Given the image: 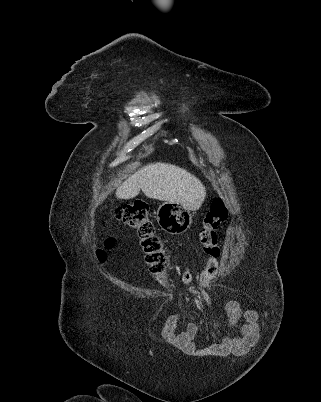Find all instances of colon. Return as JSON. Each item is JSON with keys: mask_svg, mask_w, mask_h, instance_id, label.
Returning <instances> with one entry per match:
<instances>
[{"mask_svg": "<svg viewBox=\"0 0 321 402\" xmlns=\"http://www.w3.org/2000/svg\"><path fill=\"white\" fill-rule=\"evenodd\" d=\"M228 209L222 199L214 200L206 212L202 228L199 232V242L206 257V263L202 274H197L195 280L199 283L200 294H211L212 286L208 285L219 270V258L221 249L217 237V228L226 220ZM114 219L134 229L140 239L141 247L146 256V262L150 270L163 283L166 292L171 291L168 283V253L164 241L157 232L149 213V208L144 202H134L119 207L114 213ZM113 246V240L105 241V249ZM105 250L98 251V258L103 260Z\"/></svg>", "mask_w": 321, "mask_h": 402, "instance_id": "1", "label": "colon"}]
</instances>
